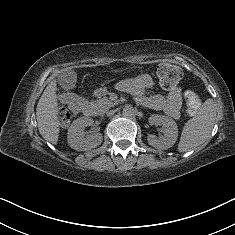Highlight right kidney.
Here are the masks:
<instances>
[{
	"label": "right kidney",
	"mask_w": 235,
	"mask_h": 235,
	"mask_svg": "<svg viewBox=\"0 0 235 235\" xmlns=\"http://www.w3.org/2000/svg\"><path fill=\"white\" fill-rule=\"evenodd\" d=\"M89 124L90 122L84 119L75 121L68 135V142L72 148L80 151L94 148L101 143L102 136L100 133L85 135V127Z\"/></svg>",
	"instance_id": "ca27d5eb"
}]
</instances>
